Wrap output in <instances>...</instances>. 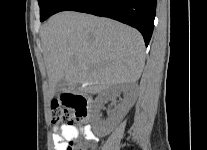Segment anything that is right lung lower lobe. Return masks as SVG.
<instances>
[{"mask_svg": "<svg viewBox=\"0 0 207 150\" xmlns=\"http://www.w3.org/2000/svg\"><path fill=\"white\" fill-rule=\"evenodd\" d=\"M66 10L109 17L133 26L147 46L154 27L156 0H64L55 13Z\"/></svg>", "mask_w": 207, "mask_h": 150, "instance_id": "1", "label": "right lung lower lobe"}]
</instances>
